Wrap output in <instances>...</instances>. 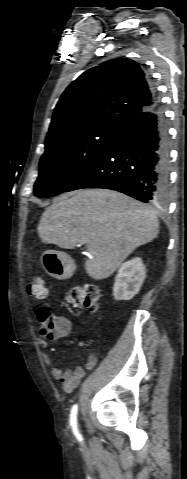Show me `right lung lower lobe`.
<instances>
[{"mask_svg": "<svg viewBox=\"0 0 187 479\" xmlns=\"http://www.w3.org/2000/svg\"><path fill=\"white\" fill-rule=\"evenodd\" d=\"M148 82L156 94L149 79ZM169 159L166 118L157 100L152 108L128 121L107 149L64 192L106 188L145 203L161 202L169 188Z\"/></svg>", "mask_w": 187, "mask_h": 479, "instance_id": "1", "label": "right lung lower lobe"}]
</instances>
